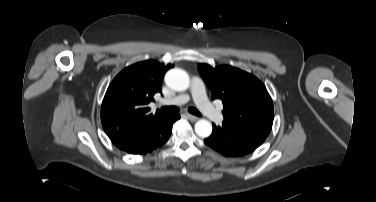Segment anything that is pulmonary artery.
<instances>
[{
	"mask_svg": "<svg viewBox=\"0 0 376 202\" xmlns=\"http://www.w3.org/2000/svg\"><path fill=\"white\" fill-rule=\"evenodd\" d=\"M191 93L197 107L209 120L216 123H220L223 120L222 113L217 108H215L208 100L205 93L203 81L200 78L194 77L191 80ZM189 98V95L181 94L174 97L171 100L165 101V103L173 105H182L187 103L189 101Z\"/></svg>",
	"mask_w": 376,
	"mask_h": 202,
	"instance_id": "1",
	"label": "pulmonary artery"
}]
</instances>
